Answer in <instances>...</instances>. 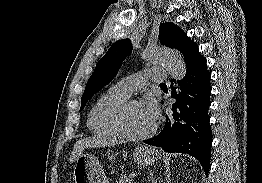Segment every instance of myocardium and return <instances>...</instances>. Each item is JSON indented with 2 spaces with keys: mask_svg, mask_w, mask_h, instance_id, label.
<instances>
[{
  "mask_svg": "<svg viewBox=\"0 0 262 183\" xmlns=\"http://www.w3.org/2000/svg\"><path fill=\"white\" fill-rule=\"evenodd\" d=\"M132 105H140V102L132 99L126 100L117 108V110L115 111L112 117V123L114 129L117 131L120 137L128 140L140 141L153 136L157 131V127H158L157 123H154L153 127L144 134H133L127 130L125 125V115L128 108Z\"/></svg>",
  "mask_w": 262,
  "mask_h": 183,
  "instance_id": "myocardium-1",
  "label": "myocardium"
}]
</instances>
